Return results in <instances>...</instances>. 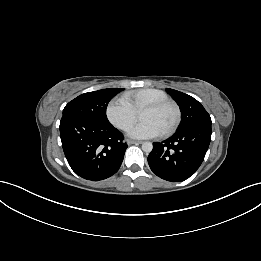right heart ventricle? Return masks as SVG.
I'll return each instance as SVG.
<instances>
[{
    "instance_id": "right-heart-ventricle-1",
    "label": "right heart ventricle",
    "mask_w": 261,
    "mask_h": 261,
    "mask_svg": "<svg viewBox=\"0 0 261 261\" xmlns=\"http://www.w3.org/2000/svg\"><path fill=\"white\" fill-rule=\"evenodd\" d=\"M125 98L136 111H140L150 103L168 100L165 92L154 88H145L130 92L125 95Z\"/></svg>"
}]
</instances>
